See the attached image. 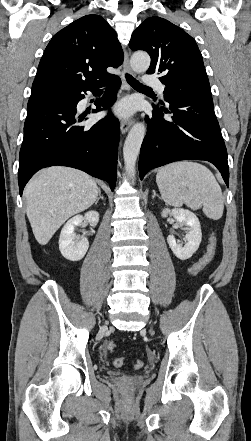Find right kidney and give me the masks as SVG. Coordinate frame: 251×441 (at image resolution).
I'll list each match as a JSON object with an SVG mask.
<instances>
[{
    "instance_id": "ca27d5eb",
    "label": "right kidney",
    "mask_w": 251,
    "mask_h": 441,
    "mask_svg": "<svg viewBox=\"0 0 251 441\" xmlns=\"http://www.w3.org/2000/svg\"><path fill=\"white\" fill-rule=\"evenodd\" d=\"M86 220L91 227H95L99 221V213L97 211H89L84 216L77 215L67 221L61 230L59 238V250L64 258L69 261L81 260L88 248L89 242L86 237L78 239L74 229Z\"/></svg>"
}]
</instances>
